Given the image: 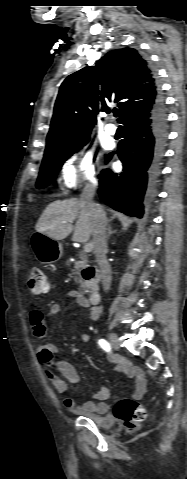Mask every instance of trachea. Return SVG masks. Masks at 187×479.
Segmentation results:
<instances>
[{
    "mask_svg": "<svg viewBox=\"0 0 187 479\" xmlns=\"http://www.w3.org/2000/svg\"><path fill=\"white\" fill-rule=\"evenodd\" d=\"M117 115H118V111H115L114 116L117 117Z\"/></svg>",
    "mask_w": 187,
    "mask_h": 479,
    "instance_id": "obj_1",
    "label": "trachea"
}]
</instances>
